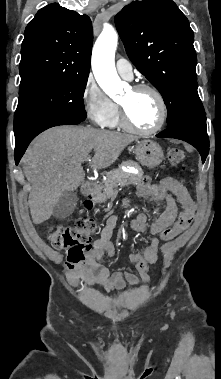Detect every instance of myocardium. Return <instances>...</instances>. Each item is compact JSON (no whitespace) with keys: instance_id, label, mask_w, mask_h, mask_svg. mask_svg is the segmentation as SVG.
I'll use <instances>...</instances> for the list:
<instances>
[{"instance_id":"1","label":"myocardium","mask_w":221,"mask_h":379,"mask_svg":"<svg viewBox=\"0 0 221 379\" xmlns=\"http://www.w3.org/2000/svg\"><path fill=\"white\" fill-rule=\"evenodd\" d=\"M133 92L148 91L154 95L157 100L159 108V116L156 124L148 129H142L135 126L129 119L127 111L122 104H119V118L120 123L126 130L139 134V135H151L162 129L167 119V105L162 93L154 86L150 84H138L132 87Z\"/></svg>"}]
</instances>
